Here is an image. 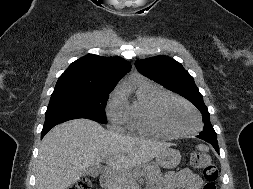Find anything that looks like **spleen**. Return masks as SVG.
<instances>
[{"label": "spleen", "mask_w": 253, "mask_h": 189, "mask_svg": "<svg viewBox=\"0 0 253 189\" xmlns=\"http://www.w3.org/2000/svg\"><path fill=\"white\" fill-rule=\"evenodd\" d=\"M198 149L201 151L207 152L209 150V147L204 144H200L198 145Z\"/></svg>", "instance_id": "1"}]
</instances>
